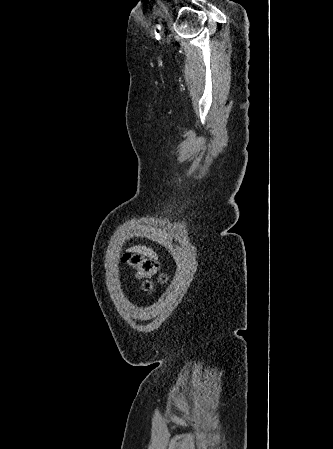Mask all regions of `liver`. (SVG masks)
I'll list each match as a JSON object with an SVG mask.
<instances>
[{
    "label": "liver",
    "instance_id": "6515ba94",
    "mask_svg": "<svg viewBox=\"0 0 333 449\" xmlns=\"http://www.w3.org/2000/svg\"><path fill=\"white\" fill-rule=\"evenodd\" d=\"M129 251L138 252V253L143 254L144 256L154 257V252L151 249H147L144 246L133 247V248H130Z\"/></svg>",
    "mask_w": 333,
    "mask_h": 449
}]
</instances>
